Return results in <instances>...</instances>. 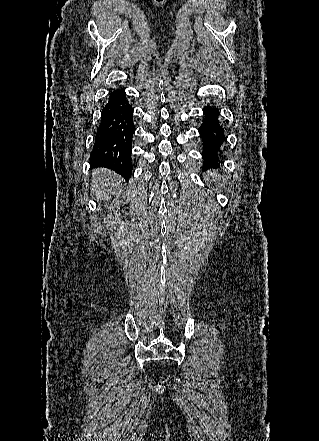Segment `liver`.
Here are the masks:
<instances>
[{
  "mask_svg": "<svg viewBox=\"0 0 319 441\" xmlns=\"http://www.w3.org/2000/svg\"><path fill=\"white\" fill-rule=\"evenodd\" d=\"M121 181L119 175L107 169H96L92 173L91 191L101 201H108L115 195Z\"/></svg>",
  "mask_w": 319,
  "mask_h": 441,
  "instance_id": "1",
  "label": "liver"
}]
</instances>
